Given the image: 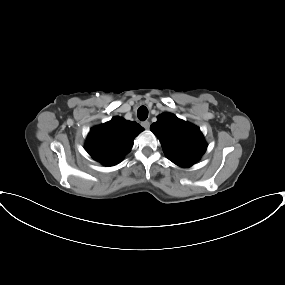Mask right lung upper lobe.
Segmentation results:
<instances>
[{"mask_svg": "<svg viewBox=\"0 0 285 285\" xmlns=\"http://www.w3.org/2000/svg\"><path fill=\"white\" fill-rule=\"evenodd\" d=\"M143 130L134 121L114 117L90 130L85 149L94 160L114 166L131 150L134 138Z\"/></svg>", "mask_w": 285, "mask_h": 285, "instance_id": "obj_1", "label": "right lung upper lobe"}]
</instances>
